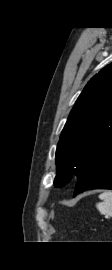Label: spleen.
<instances>
[{
	"label": "spleen",
	"mask_w": 112,
	"mask_h": 270,
	"mask_svg": "<svg viewBox=\"0 0 112 270\" xmlns=\"http://www.w3.org/2000/svg\"><path fill=\"white\" fill-rule=\"evenodd\" d=\"M102 202L97 203L96 207L101 214L112 216V191H106L99 195Z\"/></svg>",
	"instance_id": "1"
}]
</instances>
